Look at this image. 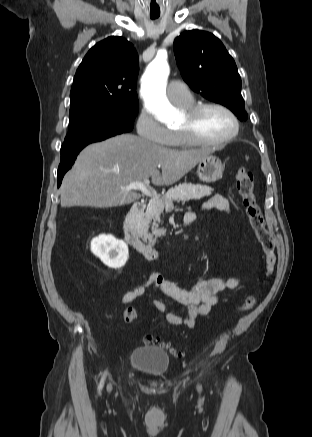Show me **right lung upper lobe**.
I'll list each match as a JSON object with an SVG mask.
<instances>
[{"label":"right lung upper lobe","instance_id":"right-lung-upper-lobe-1","mask_svg":"<svg viewBox=\"0 0 312 437\" xmlns=\"http://www.w3.org/2000/svg\"><path fill=\"white\" fill-rule=\"evenodd\" d=\"M138 55L132 44L111 36L93 46L74 76L70 107L86 103H138Z\"/></svg>","mask_w":312,"mask_h":437}]
</instances>
